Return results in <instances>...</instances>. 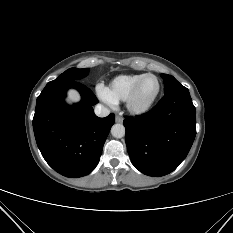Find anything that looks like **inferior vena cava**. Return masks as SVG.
Listing matches in <instances>:
<instances>
[{
	"instance_id": "obj_1",
	"label": "inferior vena cava",
	"mask_w": 233,
	"mask_h": 233,
	"mask_svg": "<svg viewBox=\"0 0 233 233\" xmlns=\"http://www.w3.org/2000/svg\"><path fill=\"white\" fill-rule=\"evenodd\" d=\"M94 112L98 117H106L110 114V110L101 104L95 106Z\"/></svg>"
}]
</instances>
